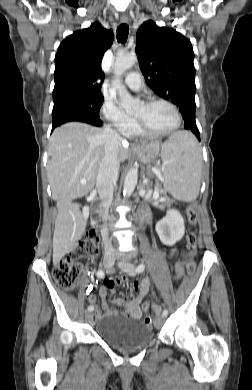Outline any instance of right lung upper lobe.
<instances>
[{
    "mask_svg": "<svg viewBox=\"0 0 252 390\" xmlns=\"http://www.w3.org/2000/svg\"><path fill=\"white\" fill-rule=\"evenodd\" d=\"M112 42L113 31L99 22L68 36L55 55L53 101L72 96H102L104 74L100 64Z\"/></svg>",
    "mask_w": 252,
    "mask_h": 390,
    "instance_id": "obj_1",
    "label": "right lung upper lobe"
}]
</instances>
